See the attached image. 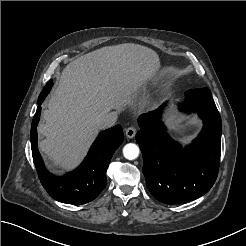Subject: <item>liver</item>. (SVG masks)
Listing matches in <instances>:
<instances>
[{
  "label": "liver",
  "mask_w": 246,
  "mask_h": 246,
  "mask_svg": "<svg viewBox=\"0 0 246 246\" xmlns=\"http://www.w3.org/2000/svg\"><path fill=\"white\" fill-rule=\"evenodd\" d=\"M159 68L158 54L134 43L106 46L70 62L38 126L45 137L38 146L51 166L75 168L101 129L99 119L131 104Z\"/></svg>",
  "instance_id": "1"
}]
</instances>
